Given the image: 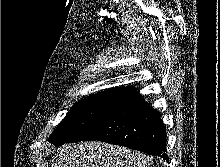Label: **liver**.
Instances as JSON below:
<instances>
[{"mask_svg":"<svg viewBox=\"0 0 220 167\" xmlns=\"http://www.w3.org/2000/svg\"><path fill=\"white\" fill-rule=\"evenodd\" d=\"M149 158L140 152L103 142L65 144L51 167H147Z\"/></svg>","mask_w":220,"mask_h":167,"instance_id":"obj_1","label":"liver"}]
</instances>
